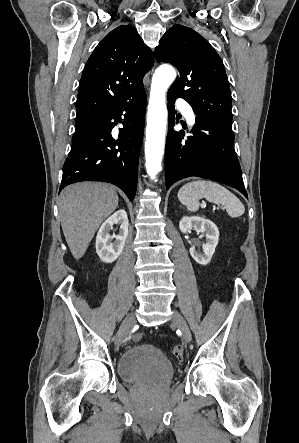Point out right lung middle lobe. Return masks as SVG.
<instances>
[{
  "instance_id": "right-lung-middle-lobe-1",
  "label": "right lung middle lobe",
  "mask_w": 299,
  "mask_h": 443,
  "mask_svg": "<svg viewBox=\"0 0 299 443\" xmlns=\"http://www.w3.org/2000/svg\"><path fill=\"white\" fill-rule=\"evenodd\" d=\"M96 119L86 120L76 123L75 132L73 135V143L83 138L88 131L96 126Z\"/></svg>"
}]
</instances>
